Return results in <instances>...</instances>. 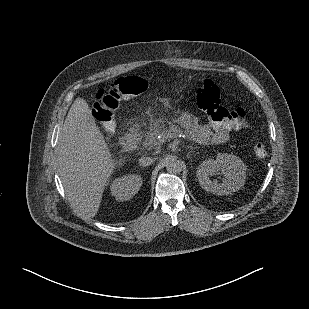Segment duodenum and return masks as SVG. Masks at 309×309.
<instances>
[{
    "label": "duodenum",
    "mask_w": 309,
    "mask_h": 309,
    "mask_svg": "<svg viewBox=\"0 0 309 309\" xmlns=\"http://www.w3.org/2000/svg\"><path fill=\"white\" fill-rule=\"evenodd\" d=\"M138 130L136 128L128 129L125 134L122 136L121 145L125 150L133 149L138 142Z\"/></svg>",
    "instance_id": "duodenum-1"
}]
</instances>
